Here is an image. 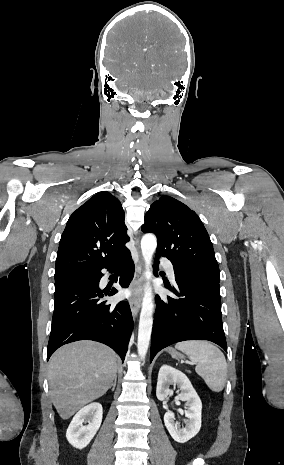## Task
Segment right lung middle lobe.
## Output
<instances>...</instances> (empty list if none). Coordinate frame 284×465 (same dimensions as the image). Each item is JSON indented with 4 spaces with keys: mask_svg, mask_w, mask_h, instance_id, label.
<instances>
[{
    "mask_svg": "<svg viewBox=\"0 0 284 465\" xmlns=\"http://www.w3.org/2000/svg\"><path fill=\"white\" fill-rule=\"evenodd\" d=\"M84 277H87V276H82V277H78V278H73V279H66V280H60V281H55V288L67 283V282H70V281H73V280H77V279H80V278H84Z\"/></svg>",
    "mask_w": 284,
    "mask_h": 465,
    "instance_id": "dd1d6c3e",
    "label": "right lung middle lobe"
}]
</instances>
